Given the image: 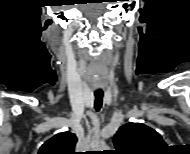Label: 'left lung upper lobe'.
Wrapping results in <instances>:
<instances>
[{"instance_id":"left-lung-upper-lobe-1","label":"left lung upper lobe","mask_w":190,"mask_h":154,"mask_svg":"<svg viewBox=\"0 0 190 154\" xmlns=\"http://www.w3.org/2000/svg\"><path fill=\"white\" fill-rule=\"evenodd\" d=\"M115 154H159L166 143L154 129L142 123L121 126L113 138Z\"/></svg>"}]
</instances>
